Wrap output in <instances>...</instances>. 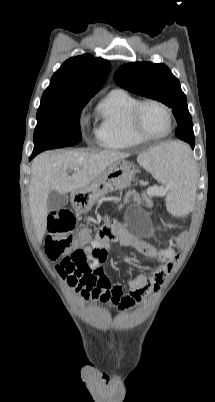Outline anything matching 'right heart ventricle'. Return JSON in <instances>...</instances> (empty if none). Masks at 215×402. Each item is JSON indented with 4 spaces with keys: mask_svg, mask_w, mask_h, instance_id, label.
<instances>
[{
    "mask_svg": "<svg viewBox=\"0 0 215 402\" xmlns=\"http://www.w3.org/2000/svg\"><path fill=\"white\" fill-rule=\"evenodd\" d=\"M139 100L127 91L116 89L109 92L99 103L95 128L97 144L103 148L125 150L137 147L146 140L132 130L130 115Z\"/></svg>",
    "mask_w": 215,
    "mask_h": 402,
    "instance_id": "right-heart-ventricle-1",
    "label": "right heart ventricle"
}]
</instances>
